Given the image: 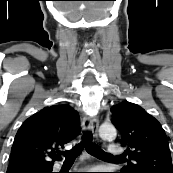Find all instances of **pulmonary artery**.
I'll list each match as a JSON object with an SVG mask.
<instances>
[{
	"instance_id": "pulmonary-artery-1",
	"label": "pulmonary artery",
	"mask_w": 173,
	"mask_h": 173,
	"mask_svg": "<svg viewBox=\"0 0 173 173\" xmlns=\"http://www.w3.org/2000/svg\"><path fill=\"white\" fill-rule=\"evenodd\" d=\"M110 155L119 156L123 153V149L120 146L110 145L107 148Z\"/></svg>"
}]
</instances>
